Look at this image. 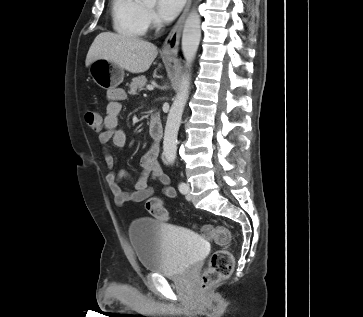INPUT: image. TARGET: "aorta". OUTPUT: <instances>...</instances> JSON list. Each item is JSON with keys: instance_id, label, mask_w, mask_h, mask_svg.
<instances>
[{"instance_id": "1", "label": "aorta", "mask_w": 363, "mask_h": 317, "mask_svg": "<svg viewBox=\"0 0 363 317\" xmlns=\"http://www.w3.org/2000/svg\"><path fill=\"white\" fill-rule=\"evenodd\" d=\"M146 3H155L156 0H143ZM201 39V18L196 9H192L184 24L182 34V52L187 68L193 62ZM190 74L187 71L183 78L180 90L170 108L164 132L163 155L170 164L174 163L177 151V135L181 124L184 107L189 95Z\"/></svg>"}]
</instances>
